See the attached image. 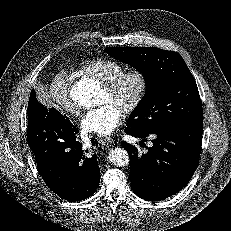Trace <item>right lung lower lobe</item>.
<instances>
[{"label":"right lung lower lobe","mask_w":231,"mask_h":231,"mask_svg":"<svg viewBox=\"0 0 231 231\" xmlns=\"http://www.w3.org/2000/svg\"><path fill=\"white\" fill-rule=\"evenodd\" d=\"M77 133L66 115L45 108L31 91L27 141L38 171L50 190L73 202L90 197L100 182L96 154L82 148ZM91 141L92 146H97L96 140Z\"/></svg>","instance_id":"98d812e1"}]
</instances>
